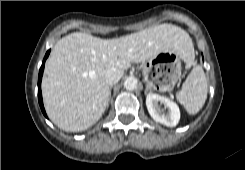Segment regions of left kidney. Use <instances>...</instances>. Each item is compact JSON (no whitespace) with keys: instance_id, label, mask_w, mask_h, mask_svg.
Here are the masks:
<instances>
[{"instance_id":"1","label":"left kidney","mask_w":245,"mask_h":170,"mask_svg":"<svg viewBox=\"0 0 245 170\" xmlns=\"http://www.w3.org/2000/svg\"><path fill=\"white\" fill-rule=\"evenodd\" d=\"M159 102L164 104L169 109L166 115L161 113V109L158 104ZM146 106L150 116L156 122L164 124L168 127L176 126L180 120V110L178 105L166 97L149 93L146 97Z\"/></svg>"}]
</instances>
